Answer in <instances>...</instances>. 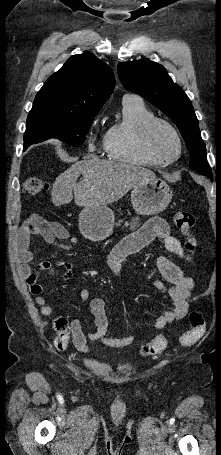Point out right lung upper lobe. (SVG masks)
I'll return each mask as SVG.
<instances>
[{
	"label": "right lung upper lobe",
	"instance_id": "obj_1",
	"mask_svg": "<svg viewBox=\"0 0 221 455\" xmlns=\"http://www.w3.org/2000/svg\"><path fill=\"white\" fill-rule=\"evenodd\" d=\"M115 87L112 69L92 53L71 56L37 93L33 107L75 113L99 112Z\"/></svg>",
	"mask_w": 221,
	"mask_h": 455
}]
</instances>
